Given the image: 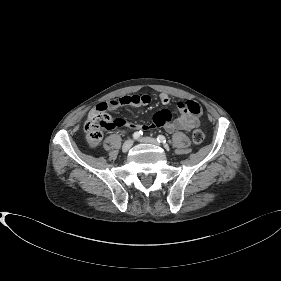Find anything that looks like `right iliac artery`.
Wrapping results in <instances>:
<instances>
[{
    "instance_id": "obj_1",
    "label": "right iliac artery",
    "mask_w": 281,
    "mask_h": 281,
    "mask_svg": "<svg viewBox=\"0 0 281 281\" xmlns=\"http://www.w3.org/2000/svg\"><path fill=\"white\" fill-rule=\"evenodd\" d=\"M142 134H143V133H142L141 131L135 132V133L133 134V138H134V139H138Z\"/></svg>"
}]
</instances>
